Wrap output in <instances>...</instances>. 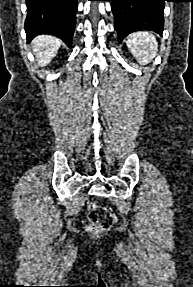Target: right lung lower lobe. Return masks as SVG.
I'll use <instances>...</instances> for the list:
<instances>
[{"label": "right lung lower lobe", "mask_w": 193, "mask_h": 287, "mask_svg": "<svg viewBox=\"0 0 193 287\" xmlns=\"http://www.w3.org/2000/svg\"><path fill=\"white\" fill-rule=\"evenodd\" d=\"M25 31L28 42L39 34L61 38L71 47L77 0H26Z\"/></svg>", "instance_id": "98d812e1"}]
</instances>
